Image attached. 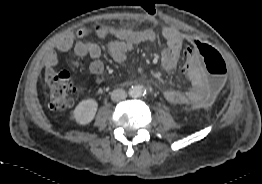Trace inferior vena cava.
<instances>
[{
	"label": "inferior vena cava",
	"instance_id": "1",
	"mask_svg": "<svg viewBox=\"0 0 262 184\" xmlns=\"http://www.w3.org/2000/svg\"><path fill=\"white\" fill-rule=\"evenodd\" d=\"M127 93L122 89H116L111 93V99L115 102L126 99Z\"/></svg>",
	"mask_w": 262,
	"mask_h": 184
}]
</instances>
